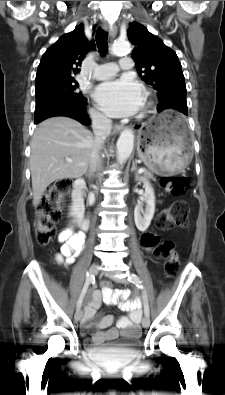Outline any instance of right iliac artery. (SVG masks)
Wrapping results in <instances>:
<instances>
[{
    "instance_id": "82829eb1",
    "label": "right iliac artery",
    "mask_w": 225,
    "mask_h": 395,
    "mask_svg": "<svg viewBox=\"0 0 225 395\" xmlns=\"http://www.w3.org/2000/svg\"><path fill=\"white\" fill-rule=\"evenodd\" d=\"M93 277L94 276H90V274L87 272L85 284H84L83 289L81 291L80 297H79V299L77 301V305H76L77 309H79L81 307L83 299H84V296H85V294L87 292V289H88Z\"/></svg>"
}]
</instances>
